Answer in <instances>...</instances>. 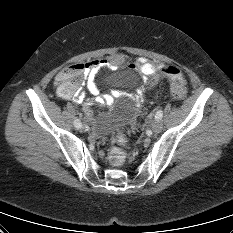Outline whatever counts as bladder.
Returning a JSON list of instances; mask_svg holds the SVG:
<instances>
[{
  "label": "bladder",
  "mask_w": 233,
  "mask_h": 233,
  "mask_svg": "<svg viewBox=\"0 0 233 233\" xmlns=\"http://www.w3.org/2000/svg\"><path fill=\"white\" fill-rule=\"evenodd\" d=\"M117 82L133 84L135 77L131 72H126L117 77ZM134 116L133 107L130 103H124L113 108L105 116L98 118L95 123V131L100 135H107L121 129L128 124Z\"/></svg>",
  "instance_id": "obj_1"
}]
</instances>
